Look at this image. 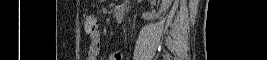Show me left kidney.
I'll list each match as a JSON object with an SVG mask.
<instances>
[{"instance_id": "1", "label": "left kidney", "mask_w": 267, "mask_h": 60, "mask_svg": "<svg viewBox=\"0 0 267 60\" xmlns=\"http://www.w3.org/2000/svg\"><path fill=\"white\" fill-rule=\"evenodd\" d=\"M172 2H173V0H162L160 9H159L158 13L154 17L155 18H159L163 13H165L169 9V7L171 6ZM142 17L144 19H146V20L147 19L148 20L149 19H153L152 15H149L148 13H144L142 15Z\"/></svg>"}]
</instances>
